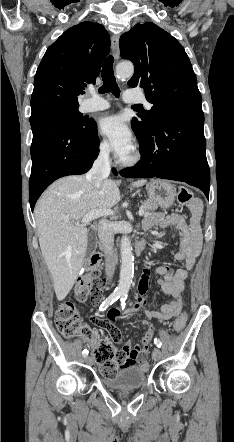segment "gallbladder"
Wrapping results in <instances>:
<instances>
[{"mask_svg":"<svg viewBox=\"0 0 234 442\" xmlns=\"http://www.w3.org/2000/svg\"><path fill=\"white\" fill-rule=\"evenodd\" d=\"M95 249L94 235L89 231L88 232V245L86 254L89 256Z\"/></svg>","mask_w":234,"mask_h":442,"instance_id":"obj_1","label":"gallbladder"}]
</instances>
